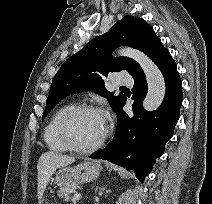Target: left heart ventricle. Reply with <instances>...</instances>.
Here are the masks:
<instances>
[{
	"instance_id": "b2bd125f",
	"label": "left heart ventricle",
	"mask_w": 212,
	"mask_h": 204,
	"mask_svg": "<svg viewBox=\"0 0 212 204\" xmlns=\"http://www.w3.org/2000/svg\"><path fill=\"white\" fill-rule=\"evenodd\" d=\"M105 117L96 112H81L74 115L68 124V131L73 142L78 146L95 143L105 129Z\"/></svg>"
}]
</instances>
